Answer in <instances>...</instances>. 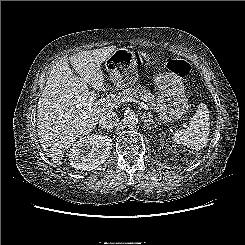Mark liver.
<instances>
[{"label": "liver", "instance_id": "1", "mask_svg": "<svg viewBox=\"0 0 245 245\" xmlns=\"http://www.w3.org/2000/svg\"><path fill=\"white\" fill-rule=\"evenodd\" d=\"M116 46L81 51L56 61L38 101L37 133L42 149L56 165L62 164L66 150L95 129L100 118L113 112L112 96L99 99L88 111L89 87H105L101 64ZM70 64L79 74H73ZM85 111L86 115L79 116Z\"/></svg>", "mask_w": 245, "mask_h": 245}]
</instances>
